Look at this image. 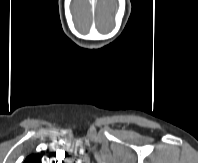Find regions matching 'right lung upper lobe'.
<instances>
[{
  "mask_svg": "<svg viewBox=\"0 0 198 163\" xmlns=\"http://www.w3.org/2000/svg\"><path fill=\"white\" fill-rule=\"evenodd\" d=\"M24 163H41V160L37 155L31 154L25 159Z\"/></svg>",
  "mask_w": 198,
  "mask_h": 163,
  "instance_id": "obj_1",
  "label": "right lung upper lobe"
}]
</instances>
